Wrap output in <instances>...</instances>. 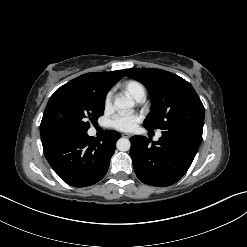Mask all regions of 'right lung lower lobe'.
<instances>
[{"mask_svg": "<svg viewBox=\"0 0 247 247\" xmlns=\"http://www.w3.org/2000/svg\"><path fill=\"white\" fill-rule=\"evenodd\" d=\"M120 137L118 132L106 131L99 139L85 134L52 139L42 145L46 159L63 181L74 187H85L105 176Z\"/></svg>", "mask_w": 247, "mask_h": 247, "instance_id": "obj_1", "label": "right lung lower lobe"}]
</instances>
